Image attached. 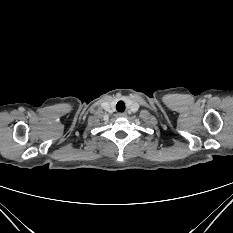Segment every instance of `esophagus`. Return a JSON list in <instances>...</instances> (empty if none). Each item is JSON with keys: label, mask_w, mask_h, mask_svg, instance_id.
I'll list each match as a JSON object with an SVG mask.
<instances>
[{"label": "esophagus", "mask_w": 233, "mask_h": 233, "mask_svg": "<svg viewBox=\"0 0 233 233\" xmlns=\"http://www.w3.org/2000/svg\"><path fill=\"white\" fill-rule=\"evenodd\" d=\"M126 115H127V114H126L125 112H119V113H118V116H119V117H126Z\"/></svg>", "instance_id": "34e87169"}]
</instances>
